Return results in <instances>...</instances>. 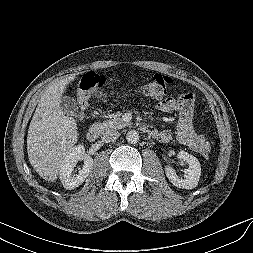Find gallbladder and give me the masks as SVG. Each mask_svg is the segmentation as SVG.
Wrapping results in <instances>:
<instances>
[{"label":"gallbladder","mask_w":253,"mask_h":253,"mask_svg":"<svg viewBox=\"0 0 253 253\" xmlns=\"http://www.w3.org/2000/svg\"><path fill=\"white\" fill-rule=\"evenodd\" d=\"M62 112L67 116H76L78 112V104L73 97L63 96L60 100Z\"/></svg>","instance_id":"gallbladder-1"}]
</instances>
